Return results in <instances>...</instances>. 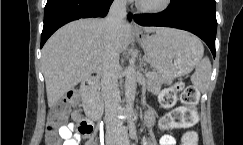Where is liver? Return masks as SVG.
Returning a JSON list of instances; mask_svg holds the SVG:
<instances>
[{"instance_id": "6515ba94", "label": "liver", "mask_w": 243, "mask_h": 145, "mask_svg": "<svg viewBox=\"0 0 243 145\" xmlns=\"http://www.w3.org/2000/svg\"><path fill=\"white\" fill-rule=\"evenodd\" d=\"M158 27H143L147 33ZM132 41V28H120L118 50L123 52ZM108 44L105 19H81L56 31L42 49V71L48 106L54 108L63 95L78 85L103 61Z\"/></svg>"}]
</instances>
